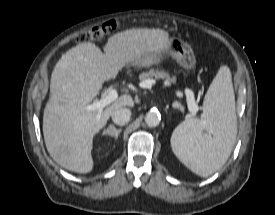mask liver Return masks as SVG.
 <instances>
[{"label":"liver","mask_w":275,"mask_h":215,"mask_svg":"<svg viewBox=\"0 0 275 215\" xmlns=\"http://www.w3.org/2000/svg\"><path fill=\"white\" fill-rule=\"evenodd\" d=\"M164 31L131 29L110 37L103 53L94 43H80L62 55L52 72L50 99L44 109L43 135L52 159L80 174L92 171L94 136L113 112L133 107L130 95H122L104 110L85 107L99 94L104 82L115 79L130 62L154 52Z\"/></svg>","instance_id":"1"}]
</instances>
